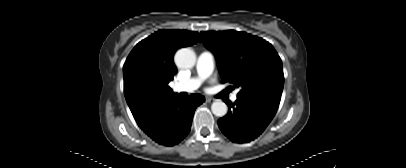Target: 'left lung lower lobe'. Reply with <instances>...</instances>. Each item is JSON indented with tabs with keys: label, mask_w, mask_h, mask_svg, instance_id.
<instances>
[{
	"label": "left lung lower lobe",
	"mask_w": 406,
	"mask_h": 168,
	"mask_svg": "<svg viewBox=\"0 0 406 168\" xmlns=\"http://www.w3.org/2000/svg\"><path fill=\"white\" fill-rule=\"evenodd\" d=\"M228 113L218 120L225 136L236 143L257 138L273 119L278 105L274 102L237 97L234 104L226 101Z\"/></svg>",
	"instance_id": "1"
}]
</instances>
